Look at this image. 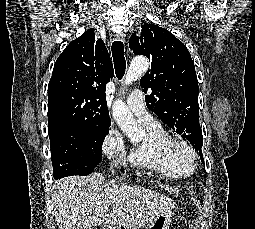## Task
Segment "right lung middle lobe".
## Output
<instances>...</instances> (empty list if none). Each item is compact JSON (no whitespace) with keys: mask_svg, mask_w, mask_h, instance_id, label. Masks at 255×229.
<instances>
[{"mask_svg":"<svg viewBox=\"0 0 255 229\" xmlns=\"http://www.w3.org/2000/svg\"><path fill=\"white\" fill-rule=\"evenodd\" d=\"M109 127H49L54 178L92 173L102 161V144Z\"/></svg>","mask_w":255,"mask_h":229,"instance_id":"1","label":"right lung middle lobe"}]
</instances>
